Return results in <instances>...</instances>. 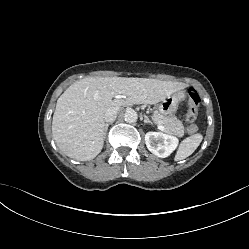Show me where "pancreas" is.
Wrapping results in <instances>:
<instances>
[{
  "label": "pancreas",
  "instance_id": "obj_1",
  "mask_svg": "<svg viewBox=\"0 0 249 249\" xmlns=\"http://www.w3.org/2000/svg\"><path fill=\"white\" fill-rule=\"evenodd\" d=\"M152 120L157 125L165 127V131L168 134L182 137L184 135L185 128L183 123L176 117H166L157 110L153 112Z\"/></svg>",
  "mask_w": 249,
  "mask_h": 249
}]
</instances>
